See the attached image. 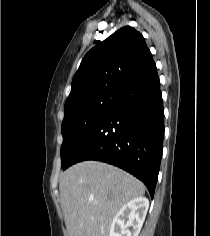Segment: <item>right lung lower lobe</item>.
Returning <instances> with one entry per match:
<instances>
[{"label":"right lung lower lobe","mask_w":210,"mask_h":236,"mask_svg":"<svg viewBox=\"0 0 210 236\" xmlns=\"http://www.w3.org/2000/svg\"><path fill=\"white\" fill-rule=\"evenodd\" d=\"M163 137L164 108L156 69L121 92L64 169L84 160L106 162L140 179L153 198Z\"/></svg>","instance_id":"right-lung-lower-lobe-1"}]
</instances>
